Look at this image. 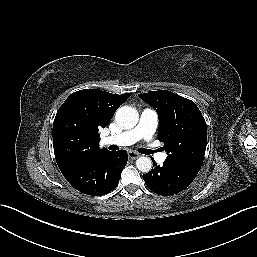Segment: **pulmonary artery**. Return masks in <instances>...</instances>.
<instances>
[{"instance_id":"1","label":"pulmonary artery","mask_w":257,"mask_h":257,"mask_svg":"<svg viewBox=\"0 0 257 257\" xmlns=\"http://www.w3.org/2000/svg\"><path fill=\"white\" fill-rule=\"evenodd\" d=\"M158 126V114L155 110L146 108L144 109L139 118L138 124L129 130L122 133L107 136L103 139L104 144H115L119 146L133 145L139 140L150 141L153 137ZM151 154L159 163L164 162L167 155L164 152H156L150 148Z\"/></svg>"}]
</instances>
